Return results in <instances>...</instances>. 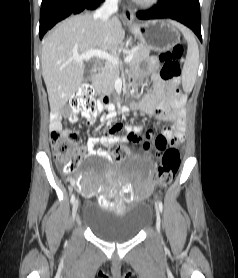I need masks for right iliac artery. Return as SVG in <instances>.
<instances>
[{
	"mask_svg": "<svg viewBox=\"0 0 238 278\" xmlns=\"http://www.w3.org/2000/svg\"><path fill=\"white\" fill-rule=\"evenodd\" d=\"M70 201H71V203H74V201H75V196H74V194L71 195Z\"/></svg>",
	"mask_w": 238,
	"mask_h": 278,
	"instance_id": "obj_1",
	"label": "right iliac artery"
}]
</instances>
